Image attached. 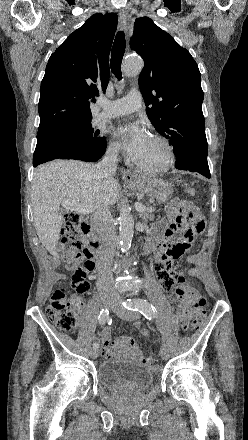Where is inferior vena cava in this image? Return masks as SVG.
Listing matches in <instances>:
<instances>
[{
	"instance_id": "inferior-vena-cava-1",
	"label": "inferior vena cava",
	"mask_w": 248,
	"mask_h": 440,
	"mask_svg": "<svg viewBox=\"0 0 248 440\" xmlns=\"http://www.w3.org/2000/svg\"><path fill=\"white\" fill-rule=\"evenodd\" d=\"M118 152L109 151L95 165L98 175L112 177L116 173ZM93 227L98 231L102 240V250L99 257L100 281L112 280V263L116 251L117 235L107 206L98 208L91 217ZM115 294V293H114ZM117 296V294H115Z\"/></svg>"
}]
</instances>
